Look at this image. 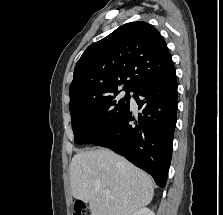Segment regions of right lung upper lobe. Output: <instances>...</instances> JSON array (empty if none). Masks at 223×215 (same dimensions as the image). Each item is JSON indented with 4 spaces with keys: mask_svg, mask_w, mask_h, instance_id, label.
Returning a JSON list of instances; mask_svg holds the SVG:
<instances>
[{
    "mask_svg": "<svg viewBox=\"0 0 223 215\" xmlns=\"http://www.w3.org/2000/svg\"><path fill=\"white\" fill-rule=\"evenodd\" d=\"M173 72L160 33L146 22L127 23L91 44L80 57L69 88L70 109L118 91L121 84L134 91Z\"/></svg>",
    "mask_w": 223,
    "mask_h": 215,
    "instance_id": "1",
    "label": "right lung upper lobe"
}]
</instances>
